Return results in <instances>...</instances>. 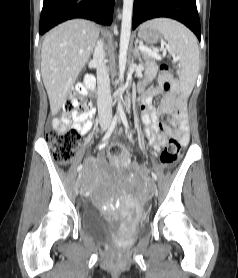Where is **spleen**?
<instances>
[{"instance_id":"obj_1","label":"spleen","mask_w":238,"mask_h":278,"mask_svg":"<svg viewBox=\"0 0 238 278\" xmlns=\"http://www.w3.org/2000/svg\"><path fill=\"white\" fill-rule=\"evenodd\" d=\"M157 29L167 41V50L179 60V81L182 92L190 95L199 71V49L195 35L181 23L158 18L144 23Z\"/></svg>"}]
</instances>
